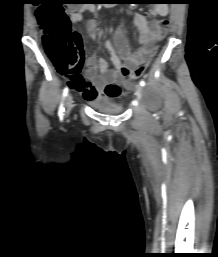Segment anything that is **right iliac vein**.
Returning a JSON list of instances; mask_svg holds the SVG:
<instances>
[{
    "instance_id": "63e3f726",
    "label": "right iliac vein",
    "mask_w": 218,
    "mask_h": 257,
    "mask_svg": "<svg viewBox=\"0 0 218 257\" xmlns=\"http://www.w3.org/2000/svg\"><path fill=\"white\" fill-rule=\"evenodd\" d=\"M72 108V96L68 94L65 99V114L68 115Z\"/></svg>"
}]
</instances>
